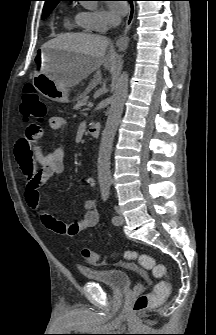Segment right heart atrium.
Instances as JSON below:
<instances>
[{
	"label": "right heart atrium",
	"mask_w": 216,
	"mask_h": 335,
	"mask_svg": "<svg viewBox=\"0 0 216 335\" xmlns=\"http://www.w3.org/2000/svg\"><path fill=\"white\" fill-rule=\"evenodd\" d=\"M81 15L88 28L97 32L106 31L112 21V16L104 10L83 11Z\"/></svg>",
	"instance_id": "1"
}]
</instances>
